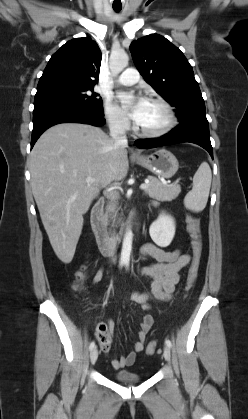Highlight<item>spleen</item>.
Masks as SVG:
<instances>
[{
  "label": "spleen",
  "mask_w": 248,
  "mask_h": 419,
  "mask_svg": "<svg viewBox=\"0 0 248 419\" xmlns=\"http://www.w3.org/2000/svg\"><path fill=\"white\" fill-rule=\"evenodd\" d=\"M212 174L207 162H202L193 177V188L184 198V205L193 212L202 211L207 204Z\"/></svg>",
  "instance_id": "spleen-1"
}]
</instances>
